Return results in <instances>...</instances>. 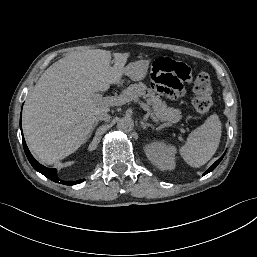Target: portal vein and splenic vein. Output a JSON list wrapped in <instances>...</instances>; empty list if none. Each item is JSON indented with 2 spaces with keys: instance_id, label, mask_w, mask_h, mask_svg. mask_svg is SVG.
Wrapping results in <instances>:
<instances>
[{
  "instance_id": "1",
  "label": "portal vein and splenic vein",
  "mask_w": 257,
  "mask_h": 257,
  "mask_svg": "<svg viewBox=\"0 0 257 257\" xmlns=\"http://www.w3.org/2000/svg\"><path fill=\"white\" fill-rule=\"evenodd\" d=\"M94 99H96L98 102L108 105V106H118V105H123L125 103H128L132 100L135 102H138L137 98H129L126 95H119V96H107L103 97L101 94H94L93 95ZM138 104L145 110L147 111V114L152 117L154 122H158V119L154 117V115L151 113L150 107L144 103V102H138ZM167 126H171V124H166Z\"/></svg>"
}]
</instances>
